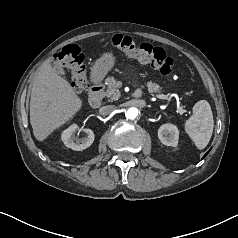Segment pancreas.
Masks as SVG:
<instances>
[{
	"label": "pancreas",
	"instance_id": "cf45deb5",
	"mask_svg": "<svg viewBox=\"0 0 238 238\" xmlns=\"http://www.w3.org/2000/svg\"><path fill=\"white\" fill-rule=\"evenodd\" d=\"M107 90L105 91V96L110 98L111 100H118L121 96L119 89L116 86V79L114 77H108L106 80ZM147 89L151 93L160 92L161 88L158 84L153 83L151 81L146 84Z\"/></svg>",
	"mask_w": 238,
	"mask_h": 238
}]
</instances>
